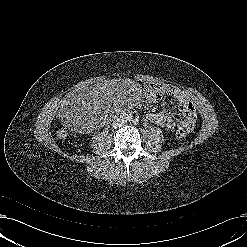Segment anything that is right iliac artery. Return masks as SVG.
<instances>
[{"instance_id":"1","label":"right iliac artery","mask_w":247,"mask_h":247,"mask_svg":"<svg viewBox=\"0 0 247 247\" xmlns=\"http://www.w3.org/2000/svg\"><path fill=\"white\" fill-rule=\"evenodd\" d=\"M128 119L131 120L132 119L131 116H129Z\"/></svg>"}]
</instances>
